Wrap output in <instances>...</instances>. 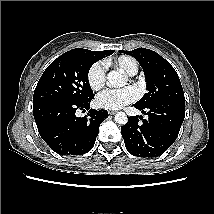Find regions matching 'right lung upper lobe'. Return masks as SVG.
<instances>
[{
	"mask_svg": "<svg viewBox=\"0 0 214 214\" xmlns=\"http://www.w3.org/2000/svg\"><path fill=\"white\" fill-rule=\"evenodd\" d=\"M98 56H100L101 58H104L106 56L111 55L114 50H106V51H94Z\"/></svg>",
	"mask_w": 214,
	"mask_h": 214,
	"instance_id": "1",
	"label": "right lung upper lobe"
}]
</instances>
